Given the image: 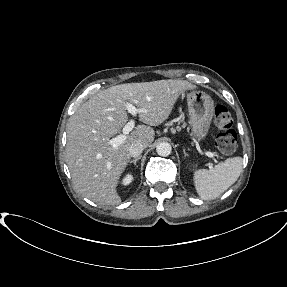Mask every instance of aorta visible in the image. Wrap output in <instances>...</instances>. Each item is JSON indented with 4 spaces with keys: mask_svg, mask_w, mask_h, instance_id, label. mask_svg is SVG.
<instances>
[{
    "mask_svg": "<svg viewBox=\"0 0 287 287\" xmlns=\"http://www.w3.org/2000/svg\"><path fill=\"white\" fill-rule=\"evenodd\" d=\"M157 154L163 157L169 156L172 151V147L168 142H160L156 146Z\"/></svg>",
    "mask_w": 287,
    "mask_h": 287,
    "instance_id": "aorta-1",
    "label": "aorta"
}]
</instances>
